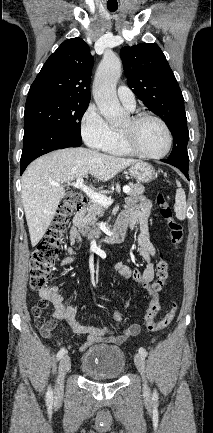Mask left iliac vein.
Instances as JSON below:
<instances>
[{"label": "left iliac vein", "instance_id": "left-iliac-vein-1", "mask_svg": "<svg viewBox=\"0 0 213 433\" xmlns=\"http://www.w3.org/2000/svg\"><path fill=\"white\" fill-rule=\"evenodd\" d=\"M134 362H135V365H136L138 371L140 372V374L142 375L143 380H144L143 381V392H144V395L145 396H149L150 395V390H149L148 384H147L146 379H145V358H144L143 355L137 353L134 356Z\"/></svg>", "mask_w": 213, "mask_h": 433}]
</instances>
